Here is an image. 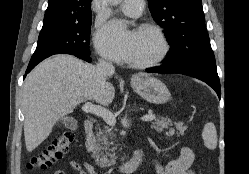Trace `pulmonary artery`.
Returning a JSON list of instances; mask_svg holds the SVG:
<instances>
[{
    "label": "pulmonary artery",
    "instance_id": "e3ab8cb5",
    "mask_svg": "<svg viewBox=\"0 0 249 174\" xmlns=\"http://www.w3.org/2000/svg\"><path fill=\"white\" fill-rule=\"evenodd\" d=\"M143 6V0H123L120 8L126 15L137 17L141 14Z\"/></svg>",
    "mask_w": 249,
    "mask_h": 174
}]
</instances>
